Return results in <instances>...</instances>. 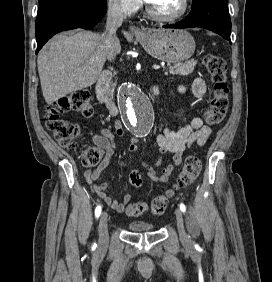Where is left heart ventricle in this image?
<instances>
[{"mask_svg":"<svg viewBox=\"0 0 272 282\" xmlns=\"http://www.w3.org/2000/svg\"><path fill=\"white\" fill-rule=\"evenodd\" d=\"M151 8L164 15H174L181 11L182 0H147Z\"/></svg>","mask_w":272,"mask_h":282,"instance_id":"left-heart-ventricle-1","label":"left heart ventricle"}]
</instances>
